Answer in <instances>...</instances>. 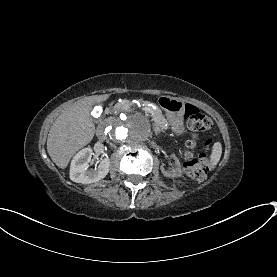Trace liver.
Here are the masks:
<instances>
[{
	"label": "liver",
	"instance_id": "obj_1",
	"mask_svg": "<svg viewBox=\"0 0 277 277\" xmlns=\"http://www.w3.org/2000/svg\"><path fill=\"white\" fill-rule=\"evenodd\" d=\"M110 94L89 96L63 111L50 128L47 151L61 169L67 167L72 156L91 142L95 125L90 110L96 103L106 101Z\"/></svg>",
	"mask_w": 277,
	"mask_h": 277
}]
</instances>
